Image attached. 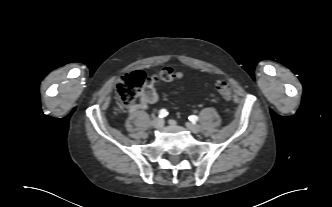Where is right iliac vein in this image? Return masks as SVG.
Listing matches in <instances>:
<instances>
[{
	"label": "right iliac vein",
	"instance_id": "1",
	"mask_svg": "<svg viewBox=\"0 0 332 207\" xmlns=\"http://www.w3.org/2000/svg\"><path fill=\"white\" fill-rule=\"evenodd\" d=\"M163 124H164V121L163 119H161L160 117H157L155 118L153 121H152V126L155 128V129H160L163 127Z\"/></svg>",
	"mask_w": 332,
	"mask_h": 207
}]
</instances>
